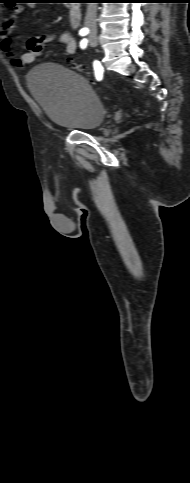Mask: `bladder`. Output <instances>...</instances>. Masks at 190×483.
<instances>
[{
    "mask_svg": "<svg viewBox=\"0 0 190 483\" xmlns=\"http://www.w3.org/2000/svg\"><path fill=\"white\" fill-rule=\"evenodd\" d=\"M30 93L54 123L73 130H93L105 119L104 105L85 79L75 71L44 63L27 79Z\"/></svg>",
    "mask_w": 190,
    "mask_h": 483,
    "instance_id": "1",
    "label": "bladder"
}]
</instances>
